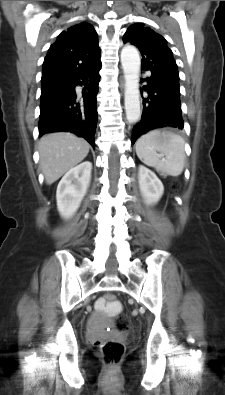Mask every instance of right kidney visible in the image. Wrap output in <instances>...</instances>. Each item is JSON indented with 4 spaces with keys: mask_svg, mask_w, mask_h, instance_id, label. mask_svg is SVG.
Segmentation results:
<instances>
[{
    "mask_svg": "<svg viewBox=\"0 0 225 395\" xmlns=\"http://www.w3.org/2000/svg\"><path fill=\"white\" fill-rule=\"evenodd\" d=\"M92 163L85 161L71 168L57 186V208L63 218H70L79 208L89 187Z\"/></svg>",
    "mask_w": 225,
    "mask_h": 395,
    "instance_id": "ca27d5eb",
    "label": "right kidney"
}]
</instances>
